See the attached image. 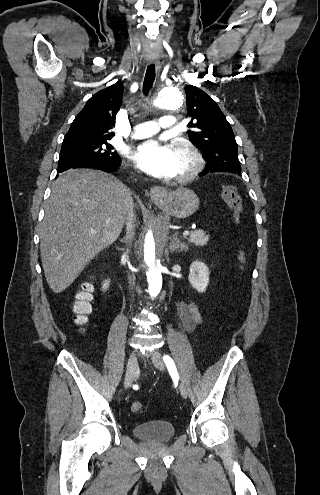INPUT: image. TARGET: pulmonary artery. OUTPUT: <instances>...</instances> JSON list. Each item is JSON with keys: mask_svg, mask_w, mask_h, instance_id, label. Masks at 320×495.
<instances>
[{"mask_svg": "<svg viewBox=\"0 0 320 495\" xmlns=\"http://www.w3.org/2000/svg\"><path fill=\"white\" fill-rule=\"evenodd\" d=\"M176 127V120L173 116H162L157 122L147 121L143 123L136 124L133 127L131 134L132 138L142 139L150 137L156 134L160 129L174 130Z\"/></svg>", "mask_w": 320, "mask_h": 495, "instance_id": "pulmonary-artery-1", "label": "pulmonary artery"}]
</instances>
